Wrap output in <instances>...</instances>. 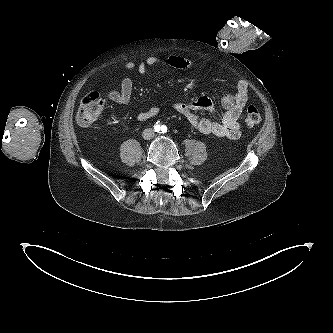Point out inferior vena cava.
<instances>
[{
	"label": "inferior vena cava",
	"instance_id": "inferior-vena-cava-1",
	"mask_svg": "<svg viewBox=\"0 0 333 333\" xmlns=\"http://www.w3.org/2000/svg\"><path fill=\"white\" fill-rule=\"evenodd\" d=\"M142 136L144 139L149 140L154 137V130L152 128L145 129L142 133Z\"/></svg>",
	"mask_w": 333,
	"mask_h": 333
}]
</instances>
